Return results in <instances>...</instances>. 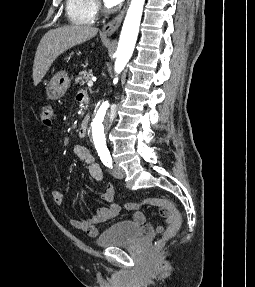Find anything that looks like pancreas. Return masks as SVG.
I'll return each mask as SVG.
<instances>
[{
    "mask_svg": "<svg viewBox=\"0 0 255 287\" xmlns=\"http://www.w3.org/2000/svg\"><path fill=\"white\" fill-rule=\"evenodd\" d=\"M93 76L92 70H84V72H79L78 78L75 80V84H79V86H83L85 82H88V80H91Z\"/></svg>",
    "mask_w": 255,
    "mask_h": 287,
    "instance_id": "1",
    "label": "pancreas"
}]
</instances>
